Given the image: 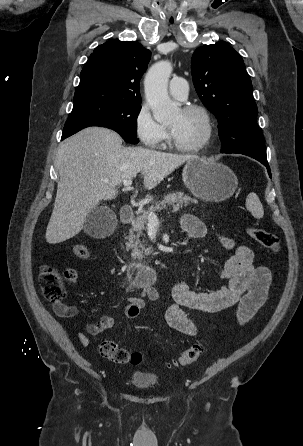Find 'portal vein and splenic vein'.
<instances>
[{
    "label": "portal vein and splenic vein",
    "mask_w": 303,
    "mask_h": 446,
    "mask_svg": "<svg viewBox=\"0 0 303 446\" xmlns=\"http://www.w3.org/2000/svg\"><path fill=\"white\" fill-rule=\"evenodd\" d=\"M123 185H124L125 187H129V186H131V185H132V180H125V181L123 182ZM147 219H148V222H149L150 224H158V223H159V220H158L157 215H156L155 213H153V212H150V213L148 214Z\"/></svg>",
    "instance_id": "1"
}]
</instances>
